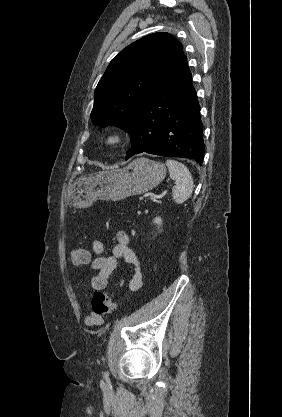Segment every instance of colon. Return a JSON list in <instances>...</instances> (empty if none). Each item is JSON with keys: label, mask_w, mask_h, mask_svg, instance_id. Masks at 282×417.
Returning <instances> with one entry per match:
<instances>
[{"label": "colon", "mask_w": 282, "mask_h": 417, "mask_svg": "<svg viewBox=\"0 0 282 417\" xmlns=\"http://www.w3.org/2000/svg\"><path fill=\"white\" fill-rule=\"evenodd\" d=\"M71 257L73 264L77 267L85 266L90 261L89 253L80 247L73 249ZM91 306L93 312L98 316L110 314L114 309V304L108 293L102 291H97L93 295Z\"/></svg>", "instance_id": "obj_1"}]
</instances>
